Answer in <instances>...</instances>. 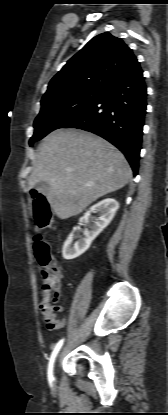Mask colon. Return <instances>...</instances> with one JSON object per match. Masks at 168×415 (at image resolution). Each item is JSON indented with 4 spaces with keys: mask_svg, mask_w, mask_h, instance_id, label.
I'll return each mask as SVG.
<instances>
[{
    "mask_svg": "<svg viewBox=\"0 0 168 415\" xmlns=\"http://www.w3.org/2000/svg\"><path fill=\"white\" fill-rule=\"evenodd\" d=\"M33 216L39 230L52 226V213L49 203L39 193L33 194ZM34 253L46 280L45 284L51 287L58 286L61 275L58 261L51 252L49 245L43 241L40 235L34 237Z\"/></svg>",
    "mask_w": 168,
    "mask_h": 415,
    "instance_id": "colon-1",
    "label": "colon"
}]
</instances>
